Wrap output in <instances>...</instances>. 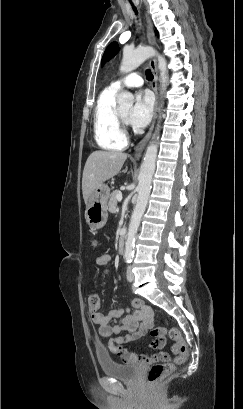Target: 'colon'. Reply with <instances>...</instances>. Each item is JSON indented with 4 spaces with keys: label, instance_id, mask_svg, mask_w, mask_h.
<instances>
[{
    "label": "colon",
    "instance_id": "colon-1",
    "mask_svg": "<svg viewBox=\"0 0 243 409\" xmlns=\"http://www.w3.org/2000/svg\"><path fill=\"white\" fill-rule=\"evenodd\" d=\"M95 246V242H91ZM89 308L93 311H98L100 308V300L97 296L92 295L89 297ZM155 339L162 341L165 340L167 336V331L162 327H156L151 331ZM168 336L170 339L174 340L177 343V349L175 352L174 362L163 361L160 363L154 362L150 367L147 379L148 382L154 386L159 385L168 375H170L175 368V363H182L185 361L188 355V346L183 340L180 331L177 328H170L168 331Z\"/></svg>",
    "mask_w": 243,
    "mask_h": 409
}]
</instances>
